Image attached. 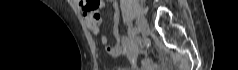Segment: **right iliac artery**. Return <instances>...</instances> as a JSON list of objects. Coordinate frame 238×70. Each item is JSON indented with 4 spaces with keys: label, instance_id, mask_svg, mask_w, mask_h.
<instances>
[{
    "label": "right iliac artery",
    "instance_id": "82829eb1",
    "mask_svg": "<svg viewBox=\"0 0 238 70\" xmlns=\"http://www.w3.org/2000/svg\"><path fill=\"white\" fill-rule=\"evenodd\" d=\"M132 32H133V34H136V33H138L139 32V29H138V27H134L133 29H132Z\"/></svg>",
    "mask_w": 238,
    "mask_h": 70
}]
</instances>
